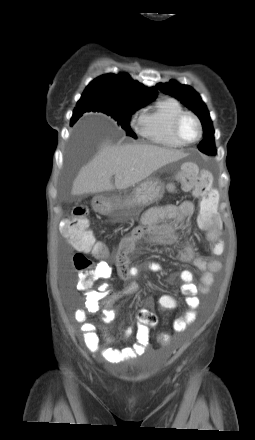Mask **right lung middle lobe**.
Listing matches in <instances>:
<instances>
[{"mask_svg":"<svg viewBox=\"0 0 255 440\" xmlns=\"http://www.w3.org/2000/svg\"><path fill=\"white\" fill-rule=\"evenodd\" d=\"M145 104L146 102H110L90 96H82L78 101L73 114L76 115L77 121L85 112H102L108 116H111L115 121H117L118 125L126 130L127 136L136 138L135 133L130 128V116Z\"/></svg>","mask_w":255,"mask_h":440,"instance_id":"obj_1","label":"right lung middle lobe"}]
</instances>
